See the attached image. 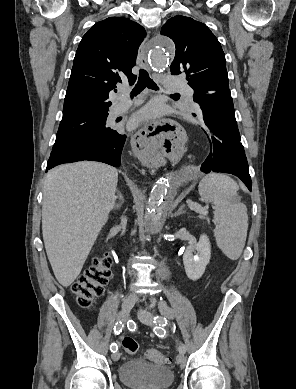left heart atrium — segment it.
Segmentation results:
<instances>
[{
    "instance_id": "1",
    "label": "left heart atrium",
    "mask_w": 296,
    "mask_h": 389,
    "mask_svg": "<svg viewBox=\"0 0 296 389\" xmlns=\"http://www.w3.org/2000/svg\"><path fill=\"white\" fill-rule=\"evenodd\" d=\"M159 115V108L155 104H149L138 112L133 118V124L138 125L141 122L151 120Z\"/></svg>"
}]
</instances>
